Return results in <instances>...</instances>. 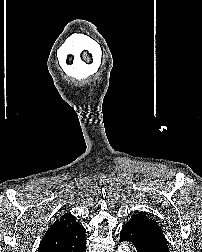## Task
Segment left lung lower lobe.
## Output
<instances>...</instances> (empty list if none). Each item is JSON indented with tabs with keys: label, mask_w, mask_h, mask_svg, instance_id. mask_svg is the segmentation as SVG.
Segmentation results:
<instances>
[{
	"label": "left lung lower lobe",
	"mask_w": 202,
	"mask_h": 252,
	"mask_svg": "<svg viewBox=\"0 0 202 252\" xmlns=\"http://www.w3.org/2000/svg\"><path fill=\"white\" fill-rule=\"evenodd\" d=\"M120 234V242H131L135 252H169L159 235L141 224L128 222Z\"/></svg>",
	"instance_id": "left-lung-lower-lobe-1"
}]
</instances>
